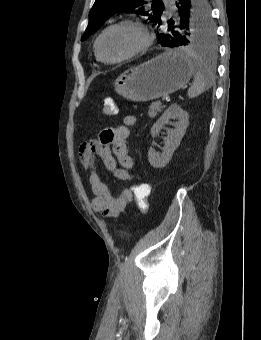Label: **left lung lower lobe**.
<instances>
[{
	"instance_id": "left-lung-lower-lobe-1",
	"label": "left lung lower lobe",
	"mask_w": 261,
	"mask_h": 340,
	"mask_svg": "<svg viewBox=\"0 0 261 340\" xmlns=\"http://www.w3.org/2000/svg\"><path fill=\"white\" fill-rule=\"evenodd\" d=\"M206 3H207V0H206ZM176 7L178 9L179 17L176 18L175 20L170 19L169 21L171 23L180 21V18L188 13L191 7V0H178L176 2ZM162 46L171 47V48L178 47V39L175 38V36L173 35L171 37L170 35H168L167 37L163 39Z\"/></svg>"
}]
</instances>
